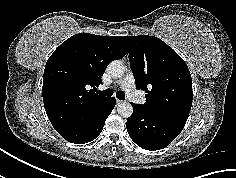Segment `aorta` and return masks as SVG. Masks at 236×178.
I'll return each mask as SVG.
<instances>
[{
    "label": "aorta",
    "mask_w": 236,
    "mask_h": 178,
    "mask_svg": "<svg viewBox=\"0 0 236 178\" xmlns=\"http://www.w3.org/2000/svg\"><path fill=\"white\" fill-rule=\"evenodd\" d=\"M108 72L113 77H121L124 74V64L120 60H114L109 63ZM118 114L123 118H128L133 113V106L129 102H122L117 107Z\"/></svg>",
    "instance_id": "aorta-1"
}]
</instances>
